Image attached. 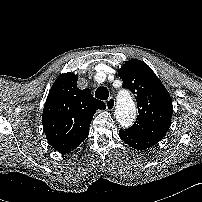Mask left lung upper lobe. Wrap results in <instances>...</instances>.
Wrapping results in <instances>:
<instances>
[{"label":"left lung upper lobe","mask_w":202,"mask_h":202,"mask_svg":"<svg viewBox=\"0 0 202 202\" xmlns=\"http://www.w3.org/2000/svg\"><path fill=\"white\" fill-rule=\"evenodd\" d=\"M123 87L130 89L137 100L136 121L127 130L137 136L161 140L171 125L172 100L151 68L144 62L132 59L118 71Z\"/></svg>","instance_id":"1"}]
</instances>
